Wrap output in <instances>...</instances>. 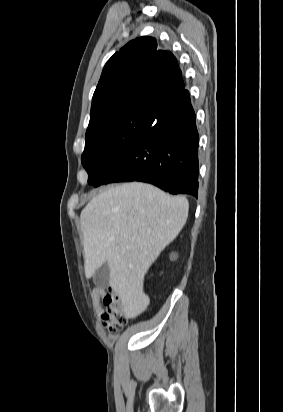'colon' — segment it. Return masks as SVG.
Returning <instances> with one entry per match:
<instances>
[{"instance_id": "obj_1", "label": "colon", "mask_w": 283, "mask_h": 412, "mask_svg": "<svg viewBox=\"0 0 283 412\" xmlns=\"http://www.w3.org/2000/svg\"><path fill=\"white\" fill-rule=\"evenodd\" d=\"M106 306L101 319L103 326L111 333L118 334L128 321V315L124 304L117 293L111 292L104 298Z\"/></svg>"}]
</instances>
